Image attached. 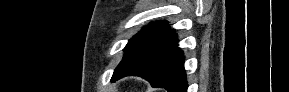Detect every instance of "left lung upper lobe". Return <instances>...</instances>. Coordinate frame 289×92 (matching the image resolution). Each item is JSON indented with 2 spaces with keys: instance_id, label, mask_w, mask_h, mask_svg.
I'll return each mask as SVG.
<instances>
[{
  "instance_id": "left-lung-upper-lobe-1",
  "label": "left lung upper lobe",
  "mask_w": 289,
  "mask_h": 92,
  "mask_svg": "<svg viewBox=\"0 0 289 92\" xmlns=\"http://www.w3.org/2000/svg\"><path fill=\"white\" fill-rule=\"evenodd\" d=\"M169 27V24L165 21L151 23L143 27L141 31L129 40L124 49V57L115 71L125 67L142 54L159 36L167 31Z\"/></svg>"
}]
</instances>
